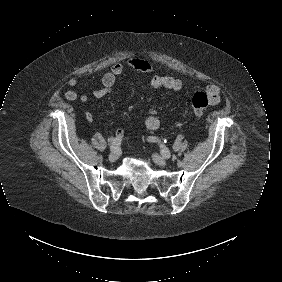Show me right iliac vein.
<instances>
[{
    "label": "right iliac vein",
    "instance_id": "1",
    "mask_svg": "<svg viewBox=\"0 0 282 282\" xmlns=\"http://www.w3.org/2000/svg\"><path fill=\"white\" fill-rule=\"evenodd\" d=\"M109 161L115 162L118 159V153L117 152H111L109 154Z\"/></svg>",
    "mask_w": 282,
    "mask_h": 282
}]
</instances>
